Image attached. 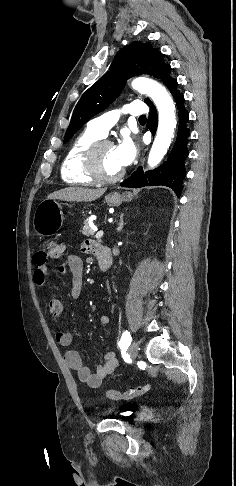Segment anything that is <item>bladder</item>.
Wrapping results in <instances>:
<instances>
[{
    "instance_id": "obj_1",
    "label": "bladder",
    "mask_w": 236,
    "mask_h": 486,
    "mask_svg": "<svg viewBox=\"0 0 236 486\" xmlns=\"http://www.w3.org/2000/svg\"><path fill=\"white\" fill-rule=\"evenodd\" d=\"M122 417H123V418H126V417H128V414H127V413H123V414H122Z\"/></svg>"
}]
</instances>
